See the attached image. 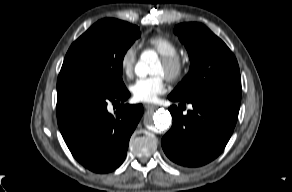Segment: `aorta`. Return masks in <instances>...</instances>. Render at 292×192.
Listing matches in <instances>:
<instances>
[{
	"label": "aorta",
	"instance_id": "1",
	"mask_svg": "<svg viewBox=\"0 0 292 192\" xmlns=\"http://www.w3.org/2000/svg\"><path fill=\"white\" fill-rule=\"evenodd\" d=\"M157 61L154 51H145L135 66V73L138 77H146L151 73L152 67ZM171 115L167 110L159 109L153 115V122L160 130H166L171 124Z\"/></svg>",
	"mask_w": 292,
	"mask_h": 192
}]
</instances>
